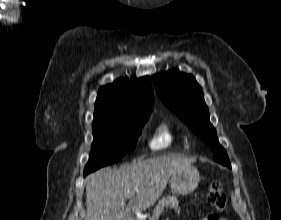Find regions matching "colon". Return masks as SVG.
I'll use <instances>...</instances> for the list:
<instances>
[{
	"label": "colon",
	"instance_id": "obj_1",
	"mask_svg": "<svg viewBox=\"0 0 281 220\" xmlns=\"http://www.w3.org/2000/svg\"><path fill=\"white\" fill-rule=\"evenodd\" d=\"M208 202L214 208V212L202 220H224L220 215L224 212L227 198L222 185L219 182H213L208 190Z\"/></svg>",
	"mask_w": 281,
	"mask_h": 220
}]
</instances>
